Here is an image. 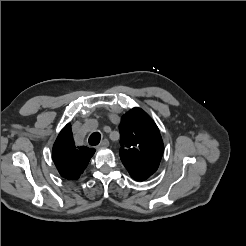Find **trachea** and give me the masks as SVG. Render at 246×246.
Wrapping results in <instances>:
<instances>
[{
    "label": "trachea",
    "instance_id": "trachea-1",
    "mask_svg": "<svg viewBox=\"0 0 246 246\" xmlns=\"http://www.w3.org/2000/svg\"><path fill=\"white\" fill-rule=\"evenodd\" d=\"M101 140V134L99 132H94L89 137V144L92 146L98 145Z\"/></svg>",
    "mask_w": 246,
    "mask_h": 246
}]
</instances>
